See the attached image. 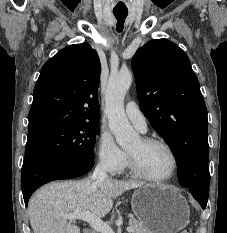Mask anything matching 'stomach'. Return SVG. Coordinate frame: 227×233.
<instances>
[{
    "label": "stomach",
    "instance_id": "stomach-1",
    "mask_svg": "<svg viewBox=\"0 0 227 233\" xmlns=\"http://www.w3.org/2000/svg\"><path fill=\"white\" fill-rule=\"evenodd\" d=\"M131 206L151 233H177L189 223L186 200L170 186L148 184L136 189Z\"/></svg>",
    "mask_w": 227,
    "mask_h": 233
}]
</instances>
